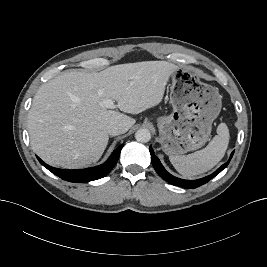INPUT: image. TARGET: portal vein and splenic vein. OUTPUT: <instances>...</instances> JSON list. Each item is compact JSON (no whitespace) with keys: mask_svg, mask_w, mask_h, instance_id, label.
Instances as JSON below:
<instances>
[{"mask_svg":"<svg viewBox=\"0 0 267 267\" xmlns=\"http://www.w3.org/2000/svg\"><path fill=\"white\" fill-rule=\"evenodd\" d=\"M101 106L104 108H115L114 101L111 99L102 101Z\"/></svg>","mask_w":267,"mask_h":267,"instance_id":"portal-vein-and-splenic-vein-1","label":"portal vein and splenic vein"}]
</instances>
